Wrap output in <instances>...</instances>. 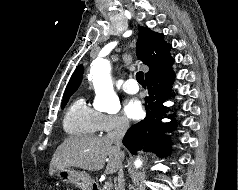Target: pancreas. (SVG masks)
<instances>
[{
  "instance_id": "1",
  "label": "pancreas",
  "mask_w": 238,
  "mask_h": 190,
  "mask_svg": "<svg viewBox=\"0 0 238 190\" xmlns=\"http://www.w3.org/2000/svg\"><path fill=\"white\" fill-rule=\"evenodd\" d=\"M99 190H112V186H111V187H106V186L104 185V188H103V189H99Z\"/></svg>"
}]
</instances>
